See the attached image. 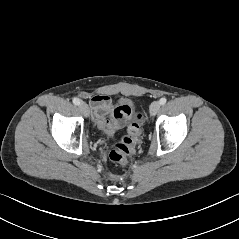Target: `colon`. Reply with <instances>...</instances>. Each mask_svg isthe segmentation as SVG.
<instances>
[{
    "mask_svg": "<svg viewBox=\"0 0 239 239\" xmlns=\"http://www.w3.org/2000/svg\"><path fill=\"white\" fill-rule=\"evenodd\" d=\"M140 119V117H138ZM140 134V128L137 123H132L127 128V136L122 137L112 147L109 157L110 160L119 164L128 163L133 144Z\"/></svg>",
    "mask_w": 239,
    "mask_h": 239,
    "instance_id": "colon-1",
    "label": "colon"
}]
</instances>
